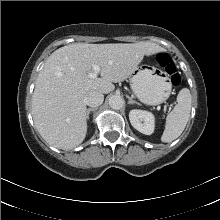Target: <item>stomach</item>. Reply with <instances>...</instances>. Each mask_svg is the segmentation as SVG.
<instances>
[{
  "label": "stomach",
  "instance_id": "1",
  "mask_svg": "<svg viewBox=\"0 0 220 220\" xmlns=\"http://www.w3.org/2000/svg\"><path fill=\"white\" fill-rule=\"evenodd\" d=\"M130 82L136 97L148 105L165 102L172 91L169 76L164 71L151 66L137 68Z\"/></svg>",
  "mask_w": 220,
  "mask_h": 220
}]
</instances>
